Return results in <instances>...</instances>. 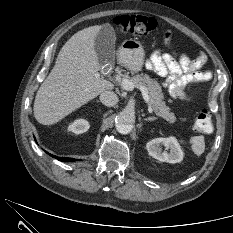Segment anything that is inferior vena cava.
Masks as SVG:
<instances>
[{"instance_id":"obj_1","label":"inferior vena cava","mask_w":233,"mask_h":233,"mask_svg":"<svg viewBox=\"0 0 233 233\" xmlns=\"http://www.w3.org/2000/svg\"><path fill=\"white\" fill-rule=\"evenodd\" d=\"M100 101L108 107H112L118 103V96L113 91H104L100 94Z\"/></svg>"}]
</instances>
